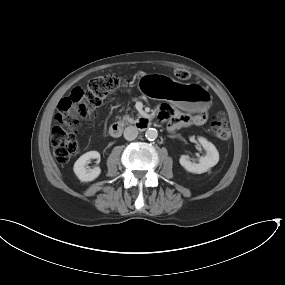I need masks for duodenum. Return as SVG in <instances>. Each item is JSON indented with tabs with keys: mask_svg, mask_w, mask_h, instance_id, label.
Masks as SVG:
<instances>
[{
	"mask_svg": "<svg viewBox=\"0 0 285 285\" xmlns=\"http://www.w3.org/2000/svg\"><path fill=\"white\" fill-rule=\"evenodd\" d=\"M149 120L147 118H142L139 122L140 128H146L148 126ZM123 124L120 122H115L110 126V134L113 137H120L123 132Z\"/></svg>",
	"mask_w": 285,
	"mask_h": 285,
	"instance_id": "obj_1",
	"label": "duodenum"
}]
</instances>
